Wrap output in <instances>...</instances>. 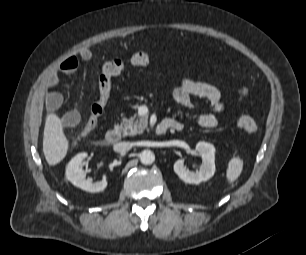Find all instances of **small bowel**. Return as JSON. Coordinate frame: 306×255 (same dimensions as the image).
Here are the masks:
<instances>
[{"label": "small bowel", "mask_w": 306, "mask_h": 255, "mask_svg": "<svg viewBox=\"0 0 306 255\" xmlns=\"http://www.w3.org/2000/svg\"><path fill=\"white\" fill-rule=\"evenodd\" d=\"M79 58L83 61H88L92 58V52L89 49H82L79 52L78 57L69 56L65 58L60 63L58 69L50 72L45 78V87L48 90L46 101L48 110L56 111L60 108L62 104V96L57 91V87L60 82L59 74L74 73L79 67ZM240 93L241 95H246L247 89H241ZM192 97H198L209 101L215 112V114L195 112L194 117L198 125L208 129L217 127L219 121L216 114H221L225 108L220 91L212 84L185 77L181 80L180 85L173 91L172 98L178 105H181L190 111H194L195 105L192 101ZM79 120L80 115L74 110L64 113L61 117L62 123L67 127L75 126ZM170 120L180 123L181 129L183 128V124L181 122L174 119Z\"/></svg>", "instance_id": "small-bowel-1"}]
</instances>
